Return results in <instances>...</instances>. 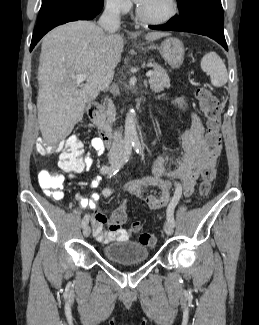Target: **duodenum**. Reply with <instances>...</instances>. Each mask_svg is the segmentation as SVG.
<instances>
[{
	"instance_id": "duodenum-1",
	"label": "duodenum",
	"mask_w": 259,
	"mask_h": 325,
	"mask_svg": "<svg viewBox=\"0 0 259 325\" xmlns=\"http://www.w3.org/2000/svg\"><path fill=\"white\" fill-rule=\"evenodd\" d=\"M88 117L90 118V120L96 124V125H100V121H101V108L100 105L98 103H93L88 107ZM100 139L102 140L104 146L106 147H110L112 145L113 142V135L111 132H109L108 130H106L105 128L101 127L100 130Z\"/></svg>"
}]
</instances>
